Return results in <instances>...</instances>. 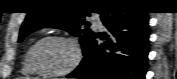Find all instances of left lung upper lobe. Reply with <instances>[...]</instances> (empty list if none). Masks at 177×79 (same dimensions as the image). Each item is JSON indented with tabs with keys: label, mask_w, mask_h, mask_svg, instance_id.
Returning <instances> with one entry per match:
<instances>
[{
	"label": "left lung upper lobe",
	"mask_w": 177,
	"mask_h": 79,
	"mask_svg": "<svg viewBox=\"0 0 177 79\" xmlns=\"http://www.w3.org/2000/svg\"><path fill=\"white\" fill-rule=\"evenodd\" d=\"M36 8L29 12L20 29L19 42L30 33L43 28L54 27L70 32L74 36H80L83 53L95 33L88 29L89 24L85 21L84 8L97 9L100 13L105 8L104 4L113 1H75L77 3H66L60 0H41L37 1ZM65 4H74L77 7L71 10L62 9ZM85 25L86 29H82Z\"/></svg>",
	"instance_id": "1"
}]
</instances>
